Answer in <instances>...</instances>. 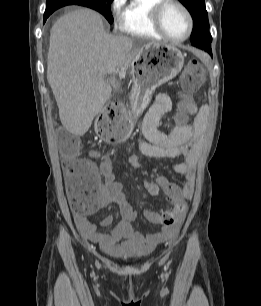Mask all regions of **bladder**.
Returning a JSON list of instances; mask_svg holds the SVG:
<instances>
[{
    "label": "bladder",
    "mask_w": 261,
    "mask_h": 306,
    "mask_svg": "<svg viewBox=\"0 0 261 306\" xmlns=\"http://www.w3.org/2000/svg\"><path fill=\"white\" fill-rule=\"evenodd\" d=\"M122 258L128 261H139L143 259V256L136 253H126L122 255Z\"/></svg>",
    "instance_id": "obj_1"
}]
</instances>
